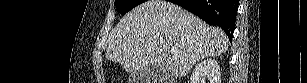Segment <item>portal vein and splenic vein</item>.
<instances>
[{
	"label": "portal vein and splenic vein",
	"instance_id": "obj_1",
	"mask_svg": "<svg viewBox=\"0 0 307 83\" xmlns=\"http://www.w3.org/2000/svg\"><path fill=\"white\" fill-rule=\"evenodd\" d=\"M170 53H171L172 55H177V54H178V52L175 51L174 49H171V50H170Z\"/></svg>",
	"mask_w": 307,
	"mask_h": 83
}]
</instances>
